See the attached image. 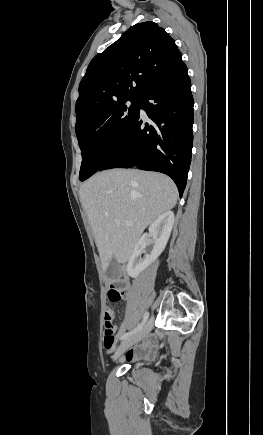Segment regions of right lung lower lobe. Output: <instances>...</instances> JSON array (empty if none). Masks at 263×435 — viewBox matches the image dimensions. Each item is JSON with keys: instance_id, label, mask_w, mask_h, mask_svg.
<instances>
[{"instance_id": "obj_1", "label": "right lung lower lobe", "mask_w": 263, "mask_h": 435, "mask_svg": "<svg viewBox=\"0 0 263 435\" xmlns=\"http://www.w3.org/2000/svg\"><path fill=\"white\" fill-rule=\"evenodd\" d=\"M193 104L191 82L183 63L143 95L139 108L149 121L144 124L139 112L99 171L137 167L162 172L174 180L182 197L191 163Z\"/></svg>"}]
</instances>
